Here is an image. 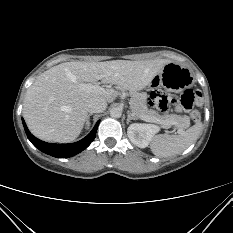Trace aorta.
<instances>
[{"instance_id": "aorta-1", "label": "aorta", "mask_w": 233, "mask_h": 233, "mask_svg": "<svg viewBox=\"0 0 233 233\" xmlns=\"http://www.w3.org/2000/svg\"><path fill=\"white\" fill-rule=\"evenodd\" d=\"M110 115H111V117H113V118H120L121 115H122V109L119 108V107H113V108L110 110Z\"/></svg>"}]
</instances>
